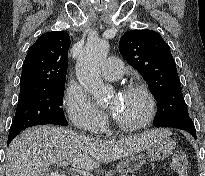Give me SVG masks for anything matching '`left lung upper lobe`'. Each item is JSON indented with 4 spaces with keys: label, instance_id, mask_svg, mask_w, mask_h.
Instances as JSON below:
<instances>
[{
    "label": "left lung upper lobe",
    "instance_id": "1",
    "mask_svg": "<svg viewBox=\"0 0 205 176\" xmlns=\"http://www.w3.org/2000/svg\"><path fill=\"white\" fill-rule=\"evenodd\" d=\"M119 51L148 83L158 101L155 126L189 116L169 46L152 30H130L120 39Z\"/></svg>",
    "mask_w": 205,
    "mask_h": 176
}]
</instances>
